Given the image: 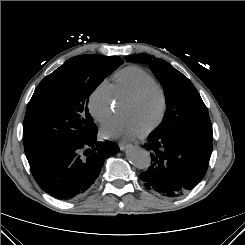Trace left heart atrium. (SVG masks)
<instances>
[{"instance_id":"1","label":"left heart atrium","mask_w":245,"mask_h":245,"mask_svg":"<svg viewBox=\"0 0 245 245\" xmlns=\"http://www.w3.org/2000/svg\"><path fill=\"white\" fill-rule=\"evenodd\" d=\"M101 133L105 137L124 136L128 139L141 135V132L137 130L127 119L105 124L101 129Z\"/></svg>"}]
</instances>
